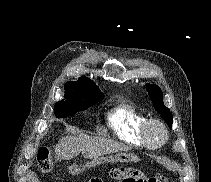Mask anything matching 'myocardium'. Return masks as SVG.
<instances>
[{
  "instance_id": "1",
  "label": "myocardium",
  "mask_w": 211,
  "mask_h": 182,
  "mask_svg": "<svg viewBox=\"0 0 211 182\" xmlns=\"http://www.w3.org/2000/svg\"><path fill=\"white\" fill-rule=\"evenodd\" d=\"M153 126L159 127L163 132V138L158 142H153L148 135L150 128ZM140 135L144 145L151 149H156L163 146L169 138L167 126L163 121L157 118H147L141 126Z\"/></svg>"
}]
</instances>
